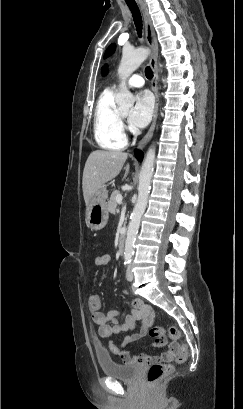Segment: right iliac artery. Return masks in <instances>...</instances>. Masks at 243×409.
Wrapping results in <instances>:
<instances>
[{
	"label": "right iliac artery",
	"mask_w": 243,
	"mask_h": 409,
	"mask_svg": "<svg viewBox=\"0 0 243 409\" xmlns=\"http://www.w3.org/2000/svg\"><path fill=\"white\" fill-rule=\"evenodd\" d=\"M130 261H131V260L126 259V260L124 261V265H125V266H128V264L130 263Z\"/></svg>",
	"instance_id": "obj_1"
}]
</instances>
